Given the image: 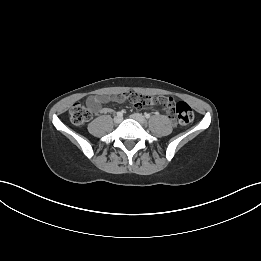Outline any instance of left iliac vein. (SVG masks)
Listing matches in <instances>:
<instances>
[{"instance_id":"4c4485c4","label":"left iliac vein","mask_w":261,"mask_h":261,"mask_svg":"<svg viewBox=\"0 0 261 261\" xmlns=\"http://www.w3.org/2000/svg\"><path fill=\"white\" fill-rule=\"evenodd\" d=\"M132 119H134L135 121H137L138 123H140L141 125H145L146 124V119L142 114L139 113H134L130 116Z\"/></svg>"}]
</instances>
